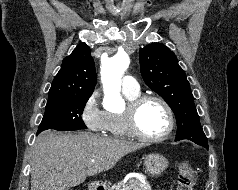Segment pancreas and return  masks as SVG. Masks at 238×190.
<instances>
[{"mask_svg": "<svg viewBox=\"0 0 238 190\" xmlns=\"http://www.w3.org/2000/svg\"><path fill=\"white\" fill-rule=\"evenodd\" d=\"M130 187L129 190H151L148 183H143L141 179L131 178L128 183L124 181H119L118 183L112 185L108 190H123L124 188Z\"/></svg>", "mask_w": 238, "mask_h": 190, "instance_id": "obj_1", "label": "pancreas"}]
</instances>
